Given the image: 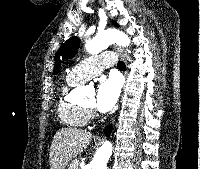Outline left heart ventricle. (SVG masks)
Returning a JSON list of instances; mask_svg holds the SVG:
<instances>
[{
	"mask_svg": "<svg viewBox=\"0 0 200 169\" xmlns=\"http://www.w3.org/2000/svg\"><path fill=\"white\" fill-rule=\"evenodd\" d=\"M94 97H91V99L89 100V102H88V105L89 106H93L94 105Z\"/></svg>",
	"mask_w": 200,
	"mask_h": 169,
	"instance_id": "1",
	"label": "left heart ventricle"
}]
</instances>
